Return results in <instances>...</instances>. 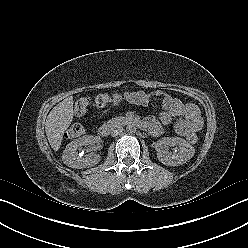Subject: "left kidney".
<instances>
[{"label":"left kidney","mask_w":248,"mask_h":248,"mask_svg":"<svg viewBox=\"0 0 248 248\" xmlns=\"http://www.w3.org/2000/svg\"><path fill=\"white\" fill-rule=\"evenodd\" d=\"M177 147L178 153H171L168 147ZM157 158L167 166H178L186 163L195 154V149L180 137H164L157 142Z\"/></svg>","instance_id":"5707ae66"}]
</instances>
